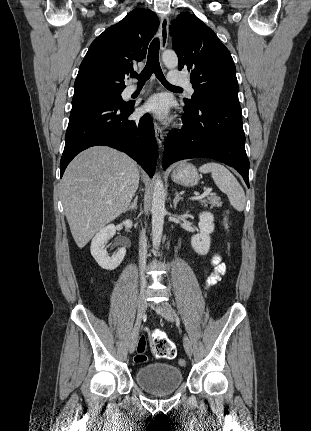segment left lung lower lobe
Listing matches in <instances>:
<instances>
[{"label":"left lung lower lobe","mask_w":311,"mask_h":431,"mask_svg":"<svg viewBox=\"0 0 311 431\" xmlns=\"http://www.w3.org/2000/svg\"><path fill=\"white\" fill-rule=\"evenodd\" d=\"M184 127L166 139L162 165L188 158H211L235 168L249 187V160L239 100L220 97L194 109L184 107Z\"/></svg>","instance_id":"1"}]
</instances>
